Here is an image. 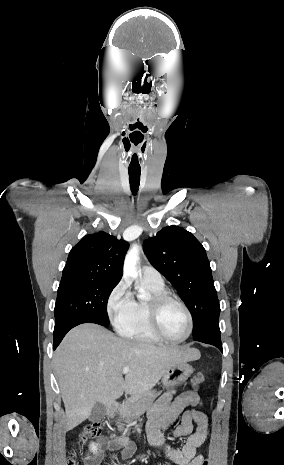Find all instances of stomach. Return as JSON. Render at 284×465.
I'll return each instance as SVG.
<instances>
[{
    "mask_svg": "<svg viewBox=\"0 0 284 465\" xmlns=\"http://www.w3.org/2000/svg\"><path fill=\"white\" fill-rule=\"evenodd\" d=\"M193 369L188 363H178L172 369L167 371L162 379L164 389H173V387H178L187 381L188 377L192 375Z\"/></svg>",
    "mask_w": 284,
    "mask_h": 465,
    "instance_id": "1",
    "label": "stomach"
}]
</instances>
